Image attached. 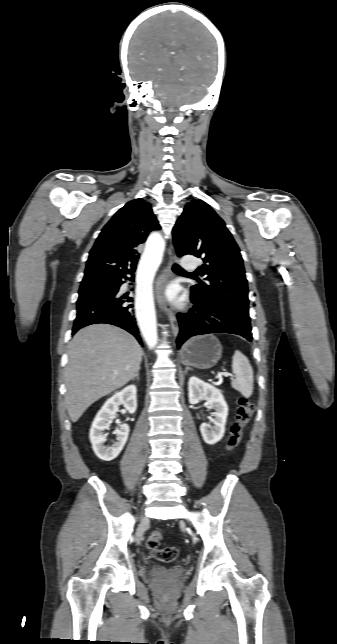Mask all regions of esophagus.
<instances>
[{
    "instance_id": "obj_1",
    "label": "esophagus",
    "mask_w": 337,
    "mask_h": 644,
    "mask_svg": "<svg viewBox=\"0 0 337 644\" xmlns=\"http://www.w3.org/2000/svg\"><path fill=\"white\" fill-rule=\"evenodd\" d=\"M175 260H176L175 255H172L169 258L167 267L163 270V272L161 273V275L158 277V279L156 281L155 294H156V300H157V303H158L159 307L161 308V310H163L168 315L173 335L177 336L178 331H179L178 321H177V319H176L171 307H169L166 304L165 299H164V295H163V290H164L165 284L167 283V281L169 280V278L171 276V266L173 265Z\"/></svg>"
}]
</instances>
